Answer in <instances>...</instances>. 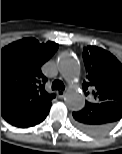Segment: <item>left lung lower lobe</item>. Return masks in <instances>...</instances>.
I'll use <instances>...</instances> for the list:
<instances>
[{
    "instance_id": "1",
    "label": "left lung lower lobe",
    "mask_w": 122,
    "mask_h": 154,
    "mask_svg": "<svg viewBox=\"0 0 122 154\" xmlns=\"http://www.w3.org/2000/svg\"><path fill=\"white\" fill-rule=\"evenodd\" d=\"M74 125L87 134L108 130L122 117V102H88L79 112H73Z\"/></svg>"
}]
</instances>
